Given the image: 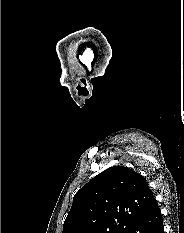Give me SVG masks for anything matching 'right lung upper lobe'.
<instances>
[{
	"mask_svg": "<svg viewBox=\"0 0 184 233\" xmlns=\"http://www.w3.org/2000/svg\"><path fill=\"white\" fill-rule=\"evenodd\" d=\"M156 204L141 175L113 166L75 194L63 233H126Z\"/></svg>",
	"mask_w": 184,
	"mask_h": 233,
	"instance_id": "right-lung-upper-lobe-1",
	"label": "right lung upper lobe"
}]
</instances>
